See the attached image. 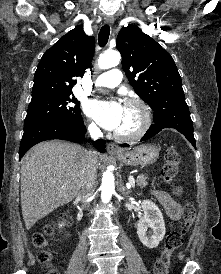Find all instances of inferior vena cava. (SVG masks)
I'll return each instance as SVG.
<instances>
[{
	"mask_svg": "<svg viewBox=\"0 0 221 274\" xmlns=\"http://www.w3.org/2000/svg\"><path fill=\"white\" fill-rule=\"evenodd\" d=\"M90 135L101 137L102 132L96 125L89 126ZM96 168H97V154L94 151H87L83 160L82 175L80 179L78 196L86 200L92 196L96 187Z\"/></svg>",
	"mask_w": 221,
	"mask_h": 274,
	"instance_id": "1",
	"label": "inferior vena cava"
}]
</instances>
